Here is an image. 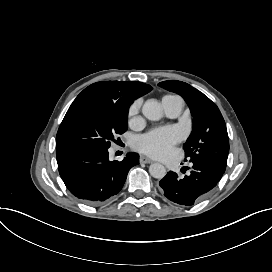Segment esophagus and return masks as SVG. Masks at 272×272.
Here are the masks:
<instances>
[{"instance_id": "obj_1", "label": "esophagus", "mask_w": 272, "mask_h": 272, "mask_svg": "<svg viewBox=\"0 0 272 272\" xmlns=\"http://www.w3.org/2000/svg\"><path fill=\"white\" fill-rule=\"evenodd\" d=\"M140 163H146V164H149V163H152L153 161L146 157V156H140V159H139Z\"/></svg>"}]
</instances>
